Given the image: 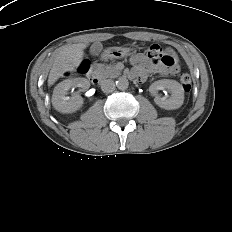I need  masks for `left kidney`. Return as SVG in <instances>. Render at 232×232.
<instances>
[{"label": "left kidney", "mask_w": 232, "mask_h": 232, "mask_svg": "<svg viewBox=\"0 0 232 232\" xmlns=\"http://www.w3.org/2000/svg\"><path fill=\"white\" fill-rule=\"evenodd\" d=\"M159 90H169L171 96L169 98L160 97L158 94ZM149 92L155 96V103L163 109L174 110L183 105L184 89L182 85L175 80L162 79L155 81L150 85Z\"/></svg>", "instance_id": "1"}]
</instances>
